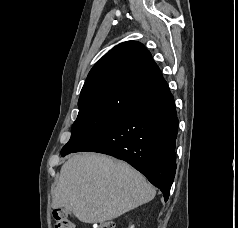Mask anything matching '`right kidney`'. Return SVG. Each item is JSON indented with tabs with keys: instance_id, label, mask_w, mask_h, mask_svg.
<instances>
[{
	"instance_id": "1",
	"label": "right kidney",
	"mask_w": 238,
	"mask_h": 228,
	"mask_svg": "<svg viewBox=\"0 0 238 228\" xmlns=\"http://www.w3.org/2000/svg\"><path fill=\"white\" fill-rule=\"evenodd\" d=\"M129 228H134V226L132 225V226H130Z\"/></svg>"
}]
</instances>
